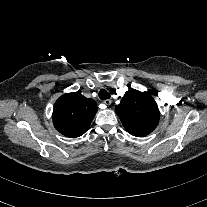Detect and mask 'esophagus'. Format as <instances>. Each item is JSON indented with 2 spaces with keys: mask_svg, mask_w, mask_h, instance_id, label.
I'll return each instance as SVG.
<instances>
[{
  "mask_svg": "<svg viewBox=\"0 0 207 207\" xmlns=\"http://www.w3.org/2000/svg\"><path fill=\"white\" fill-rule=\"evenodd\" d=\"M103 102H104V104L107 105V106H109V105L112 103V101H111L110 99H106V100H104Z\"/></svg>",
  "mask_w": 207,
  "mask_h": 207,
  "instance_id": "obj_1",
  "label": "esophagus"
}]
</instances>
